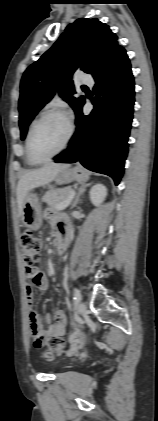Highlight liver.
Instances as JSON below:
<instances>
[{
	"mask_svg": "<svg viewBox=\"0 0 158 421\" xmlns=\"http://www.w3.org/2000/svg\"><path fill=\"white\" fill-rule=\"evenodd\" d=\"M69 166V164L51 163L42 168L24 173L20 177L17 185V203L19 214L21 215L25 197L31 190L52 182L62 169Z\"/></svg>",
	"mask_w": 158,
	"mask_h": 421,
	"instance_id": "1",
	"label": "liver"
}]
</instances>
